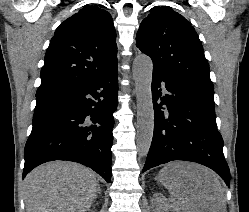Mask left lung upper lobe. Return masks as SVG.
<instances>
[{"mask_svg": "<svg viewBox=\"0 0 249 212\" xmlns=\"http://www.w3.org/2000/svg\"><path fill=\"white\" fill-rule=\"evenodd\" d=\"M138 30L137 47L165 73L214 89L204 50L195 29L168 7L149 10Z\"/></svg>", "mask_w": 249, "mask_h": 212, "instance_id": "left-lung-upper-lobe-1", "label": "left lung upper lobe"}]
</instances>
